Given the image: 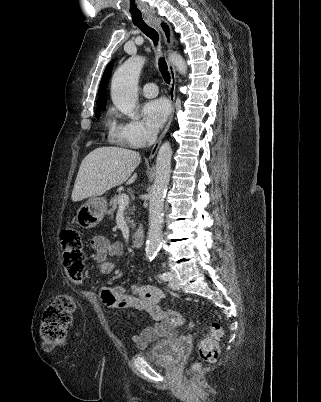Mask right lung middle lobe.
<instances>
[{
    "label": "right lung middle lobe",
    "instance_id": "right-lung-middle-lobe-1",
    "mask_svg": "<svg viewBox=\"0 0 321 402\" xmlns=\"http://www.w3.org/2000/svg\"><path fill=\"white\" fill-rule=\"evenodd\" d=\"M105 108H106V106L99 107V108L96 109V117L97 118L100 117V111L105 110Z\"/></svg>",
    "mask_w": 321,
    "mask_h": 402
}]
</instances>
